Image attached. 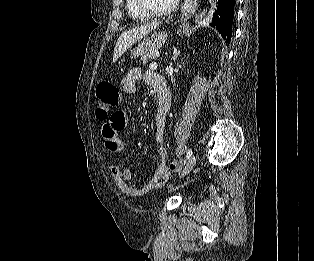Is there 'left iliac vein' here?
Segmentation results:
<instances>
[{
    "mask_svg": "<svg viewBox=\"0 0 314 261\" xmlns=\"http://www.w3.org/2000/svg\"><path fill=\"white\" fill-rule=\"evenodd\" d=\"M196 156L193 155L190 157V159L188 160L187 164L185 165L183 171L180 174V177H184L185 175H187L194 167L195 163H196Z\"/></svg>",
    "mask_w": 314,
    "mask_h": 261,
    "instance_id": "1",
    "label": "left iliac vein"
}]
</instances>
